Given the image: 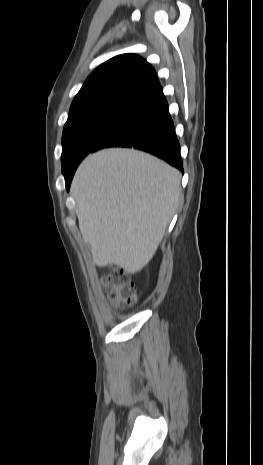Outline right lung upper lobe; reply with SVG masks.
<instances>
[{"mask_svg": "<svg viewBox=\"0 0 263 465\" xmlns=\"http://www.w3.org/2000/svg\"><path fill=\"white\" fill-rule=\"evenodd\" d=\"M159 87L156 72L147 61L135 54H122L106 61L91 73L70 109L104 98L139 100Z\"/></svg>", "mask_w": 263, "mask_h": 465, "instance_id": "cb5924a9", "label": "right lung upper lobe"}]
</instances>
